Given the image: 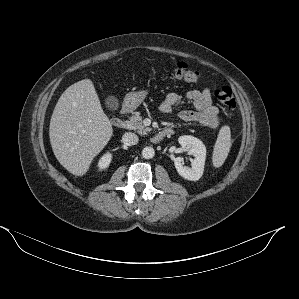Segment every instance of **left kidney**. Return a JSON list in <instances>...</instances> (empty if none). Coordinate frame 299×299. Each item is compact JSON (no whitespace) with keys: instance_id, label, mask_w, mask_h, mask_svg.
I'll list each match as a JSON object with an SVG mask.
<instances>
[{"instance_id":"left-kidney-1","label":"left kidney","mask_w":299,"mask_h":299,"mask_svg":"<svg viewBox=\"0 0 299 299\" xmlns=\"http://www.w3.org/2000/svg\"><path fill=\"white\" fill-rule=\"evenodd\" d=\"M178 142L189 154L195 157L191 162V167L184 166L181 157L175 158L174 165L178 174L190 181L199 180L204 171L206 159L205 145L200 139L190 135L180 136Z\"/></svg>"}]
</instances>
